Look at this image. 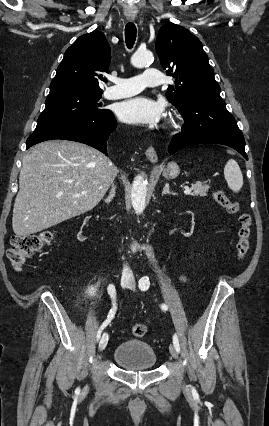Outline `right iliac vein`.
Returning a JSON list of instances; mask_svg holds the SVG:
<instances>
[{
    "mask_svg": "<svg viewBox=\"0 0 269 426\" xmlns=\"http://www.w3.org/2000/svg\"><path fill=\"white\" fill-rule=\"evenodd\" d=\"M131 283V280L128 277H122L121 278V286L123 288H127ZM108 343V334L106 332L103 333L100 342H99V351H103ZM86 387L85 389H87Z\"/></svg>",
    "mask_w": 269,
    "mask_h": 426,
    "instance_id": "63e3f726",
    "label": "right iliac vein"
}]
</instances>
